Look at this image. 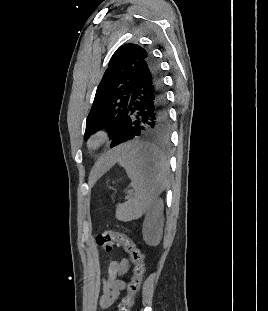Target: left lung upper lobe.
Wrapping results in <instances>:
<instances>
[{"instance_id": "1", "label": "left lung upper lobe", "mask_w": 268, "mask_h": 311, "mask_svg": "<svg viewBox=\"0 0 268 311\" xmlns=\"http://www.w3.org/2000/svg\"><path fill=\"white\" fill-rule=\"evenodd\" d=\"M150 56L144 47L132 43L116 50L97 88L86 121L85 139L101 129L114 138L126 115L138 69Z\"/></svg>"}]
</instances>
